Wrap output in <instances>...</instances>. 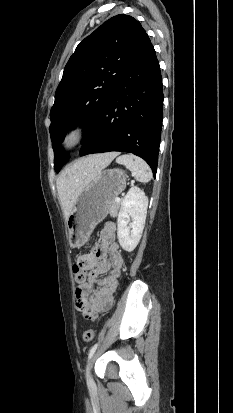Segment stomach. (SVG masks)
Listing matches in <instances>:
<instances>
[{
  "label": "stomach",
  "mask_w": 233,
  "mask_h": 413,
  "mask_svg": "<svg viewBox=\"0 0 233 413\" xmlns=\"http://www.w3.org/2000/svg\"><path fill=\"white\" fill-rule=\"evenodd\" d=\"M127 175L121 169L100 172L80 193L66 221L69 241L81 247L108 214L109 207L126 187Z\"/></svg>",
  "instance_id": "obj_1"
}]
</instances>
